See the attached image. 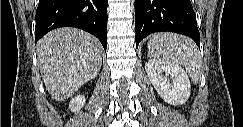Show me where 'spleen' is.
<instances>
[{
    "instance_id": "3e777b00",
    "label": "spleen",
    "mask_w": 243,
    "mask_h": 127,
    "mask_svg": "<svg viewBox=\"0 0 243 127\" xmlns=\"http://www.w3.org/2000/svg\"><path fill=\"white\" fill-rule=\"evenodd\" d=\"M149 55L155 60L185 68L196 84L200 79V55L196 44L185 36L160 33L148 42Z\"/></svg>"
}]
</instances>
